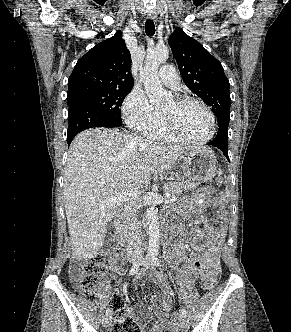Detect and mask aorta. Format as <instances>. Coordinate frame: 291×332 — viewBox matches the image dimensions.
<instances>
[{
  "instance_id": "1",
  "label": "aorta",
  "mask_w": 291,
  "mask_h": 332,
  "mask_svg": "<svg viewBox=\"0 0 291 332\" xmlns=\"http://www.w3.org/2000/svg\"><path fill=\"white\" fill-rule=\"evenodd\" d=\"M169 57V49L166 46H158L147 52L144 66L140 70V79L143 82L145 92L151 104L157 105L167 102L172 94L166 91L159 78L158 68ZM149 226L148 254L156 255L159 250L160 227L155 205L151 204L147 210Z\"/></svg>"
}]
</instances>
